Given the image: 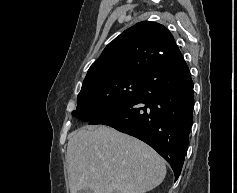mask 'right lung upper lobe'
<instances>
[{
    "label": "right lung upper lobe",
    "mask_w": 237,
    "mask_h": 193,
    "mask_svg": "<svg viewBox=\"0 0 237 193\" xmlns=\"http://www.w3.org/2000/svg\"><path fill=\"white\" fill-rule=\"evenodd\" d=\"M177 51L172 34L163 25L139 22L106 46L82 86L128 75L145 76L161 59Z\"/></svg>",
    "instance_id": "obj_1"
}]
</instances>
